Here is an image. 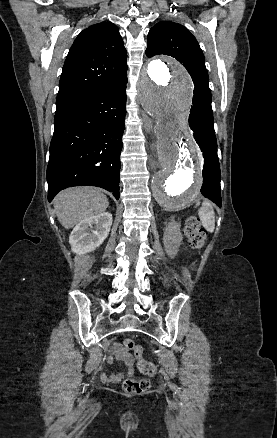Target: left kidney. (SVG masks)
Wrapping results in <instances>:
<instances>
[{"label":"left kidney","instance_id":"5707ae66","mask_svg":"<svg viewBox=\"0 0 277 438\" xmlns=\"http://www.w3.org/2000/svg\"><path fill=\"white\" fill-rule=\"evenodd\" d=\"M181 240L180 224L175 222V220L172 218L170 222H167L163 236V244L166 248V254L169 256V258H174V256H177Z\"/></svg>","mask_w":277,"mask_h":438}]
</instances>
